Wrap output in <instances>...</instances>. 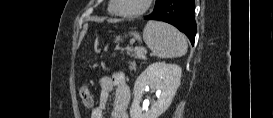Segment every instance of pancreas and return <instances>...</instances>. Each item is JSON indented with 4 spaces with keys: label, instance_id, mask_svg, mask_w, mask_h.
Listing matches in <instances>:
<instances>
[{
    "label": "pancreas",
    "instance_id": "obj_1",
    "mask_svg": "<svg viewBox=\"0 0 273 118\" xmlns=\"http://www.w3.org/2000/svg\"><path fill=\"white\" fill-rule=\"evenodd\" d=\"M135 52H136V56H137V57H140V56L143 55V49L136 48V49H135ZM129 69H130V70H135V69H136L135 63H134V62H131V63H130Z\"/></svg>",
    "mask_w": 273,
    "mask_h": 118
}]
</instances>
